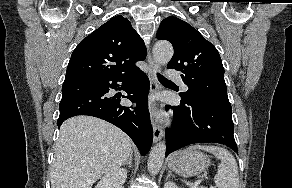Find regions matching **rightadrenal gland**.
I'll list each match as a JSON object with an SVG mask.
<instances>
[{
	"mask_svg": "<svg viewBox=\"0 0 292 188\" xmlns=\"http://www.w3.org/2000/svg\"><path fill=\"white\" fill-rule=\"evenodd\" d=\"M125 165H128L129 168L132 167V154L130 155L129 159L125 163H123V166Z\"/></svg>",
	"mask_w": 292,
	"mask_h": 188,
	"instance_id": "right-adrenal-gland-1",
	"label": "right adrenal gland"
}]
</instances>
